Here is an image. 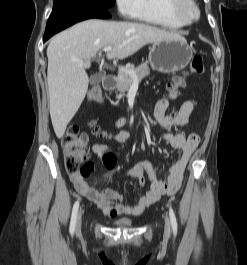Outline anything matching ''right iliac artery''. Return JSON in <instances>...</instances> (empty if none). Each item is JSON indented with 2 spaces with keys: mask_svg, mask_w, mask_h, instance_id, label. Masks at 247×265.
<instances>
[{
  "mask_svg": "<svg viewBox=\"0 0 247 265\" xmlns=\"http://www.w3.org/2000/svg\"><path fill=\"white\" fill-rule=\"evenodd\" d=\"M78 208H79V201H76L74 206H73L72 216H71V221H70V227H69V231H70L71 235L75 231Z\"/></svg>",
  "mask_w": 247,
  "mask_h": 265,
  "instance_id": "obj_1",
  "label": "right iliac artery"
}]
</instances>
